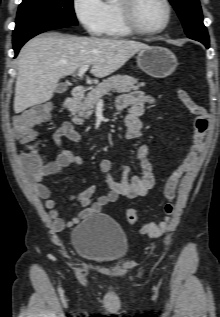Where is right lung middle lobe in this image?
I'll return each instance as SVG.
<instances>
[{
	"mask_svg": "<svg viewBox=\"0 0 220 317\" xmlns=\"http://www.w3.org/2000/svg\"><path fill=\"white\" fill-rule=\"evenodd\" d=\"M49 23L76 26L72 0H23L19 6L13 37L26 30Z\"/></svg>",
	"mask_w": 220,
	"mask_h": 317,
	"instance_id": "dd1d6c3e",
	"label": "right lung middle lobe"
}]
</instances>
